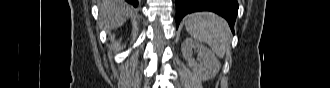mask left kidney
I'll return each mask as SVG.
<instances>
[{"mask_svg":"<svg viewBox=\"0 0 330 88\" xmlns=\"http://www.w3.org/2000/svg\"><path fill=\"white\" fill-rule=\"evenodd\" d=\"M182 55L188 62L193 73L203 81L214 78L220 70L221 64L215 54L198 41L186 38L182 43ZM193 50L198 52V61L192 56Z\"/></svg>","mask_w":330,"mask_h":88,"instance_id":"5707ae66","label":"left kidney"}]
</instances>
